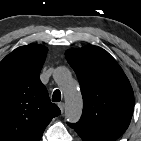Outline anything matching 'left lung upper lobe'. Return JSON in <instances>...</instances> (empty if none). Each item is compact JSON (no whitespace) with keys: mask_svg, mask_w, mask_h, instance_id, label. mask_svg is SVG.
Masks as SVG:
<instances>
[{"mask_svg":"<svg viewBox=\"0 0 141 141\" xmlns=\"http://www.w3.org/2000/svg\"><path fill=\"white\" fill-rule=\"evenodd\" d=\"M83 95L81 119L68 125L83 141H116L128 128L134 108L132 87L115 59L98 46L66 51Z\"/></svg>","mask_w":141,"mask_h":141,"instance_id":"obj_1","label":"left lung upper lobe"}]
</instances>
